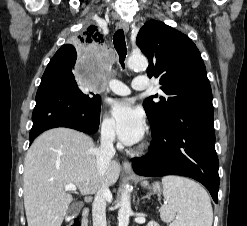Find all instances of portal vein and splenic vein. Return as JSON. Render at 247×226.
I'll use <instances>...</instances> for the list:
<instances>
[{"mask_svg":"<svg viewBox=\"0 0 247 226\" xmlns=\"http://www.w3.org/2000/svg\"><path fill=\"white\" fill-rule=\"evenodd\" d=\"M64 189L66 191H76L77 187L74 184L70 183V184L64 185Z\"/></svg>","mask_w":247,"mask_h":226,"instance_id":"18ae733b","label":"portal vein and splenic vein"}]
</instances>
